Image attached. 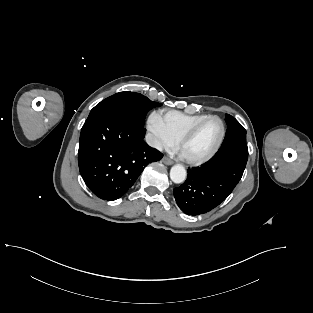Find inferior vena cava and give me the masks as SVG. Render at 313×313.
<instances>
[{"label":"inferior vena cava","mask_w":313,"mask_h":313,"mask_svg":"<svg viewBox=\"0 0 313 313\" xmlns=\"http://www.w3.org/2000/svg\"><path fill=\"white\" fill-rule=\"evenodd\" d=\"M146 142L151 146L158 150H162V144L161 142L152 134L148 133L146 135Z\"/></svg>","instance_id":"1"}]
</instances>
